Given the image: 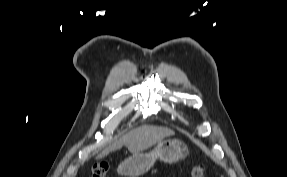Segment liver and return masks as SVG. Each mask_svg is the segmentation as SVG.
I'll list each match as a JSON object with an SVG mask.
<instances>
[{
    "label": "liver",
    "mask_w": 287,
    "mask_h": 177,
    "mask_svg": "<svg viewBox=\"0 0 287 177\" xmlns=\"http://www.w3.org/2000/svg\"><path fill=\"white\" fill-rule=\"evenodd\" d=\"M173 130L166 127L143 125L131 130L119 140L105 148L97 157L102 158L110 152L126 146L131 153H140L156 143L162 141L165 137L173 136Z\"/></svg>",
    "instance_id": "6515ba94"
}]
</instances>
